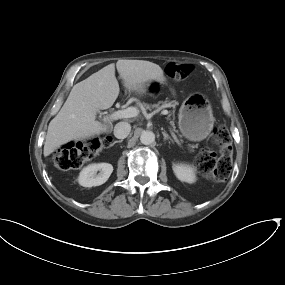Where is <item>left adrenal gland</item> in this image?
<instances>
[{
	"instance_id": "obj_1",
	"label": "left adrenal gland",
	"mask_w": 285,
	"mask_h": 285,
	"mask_svg": "<svg viewBox=\"0 0 285 285\" xmlns=\"http://www.w3.org/2000/svg\"><path fill=\"white\" fill-rule=\"evenodd\" d=\"M162 134L164 137V141L170 140L172 143H174L173 139L165 131H163Z\"/></svg>"
}]
</instances>
